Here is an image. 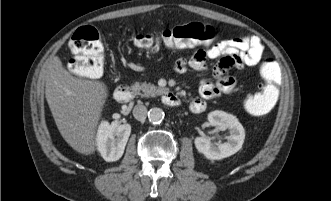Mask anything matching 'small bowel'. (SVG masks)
<instances>
[{
	"instance_id": "obj_1",
	"label": "small bowel",
	"mask_w": 331,
	"mask_h": 201,
	"mask_svg": "<svg viewBox=\"0 0 331 201\" xmlns=\"http://www.w3.org/2000/svg\"><path fill=\"white\" fill-rule=\"evenodd\" d=\"M264 44L256 35H245L220 41L205 49H198L191 55L180 58L175 63V70L184 74L189 70L206 71L207 60H215L212 72L214 81L203 79L199 84V97L190 103L193 113H202L206 109V100L231 94L236 89V80L227 75L233 67L242 69L256 65L263 54Z\"/></svg>"
}]
</instances>
